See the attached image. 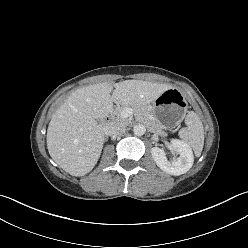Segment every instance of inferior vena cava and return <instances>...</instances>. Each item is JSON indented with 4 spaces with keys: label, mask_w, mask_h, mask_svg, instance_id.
I'll list each match as a JSON object with an SVG mask.
<instances>
[{
    "label": "inferior vena cava",
    "mask_w": 248,
    "mask_h": 248,
    "mask_svg": "<svg viewBox=\"0 0 248 248\" xmlns=\"http://www.w3.org/2000/svg\"><path fill=\"white\" fill-rule=\"evenodd\" d=\"M125 126L119 122H111L104 128V133L109 136L121 135L125 132Z\"/></svg>",
    "instance_id": "1"
}]
</instances>
